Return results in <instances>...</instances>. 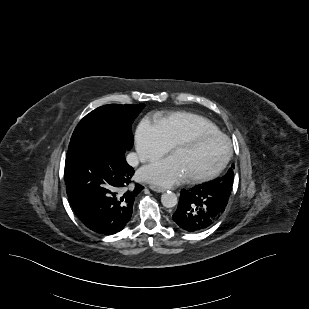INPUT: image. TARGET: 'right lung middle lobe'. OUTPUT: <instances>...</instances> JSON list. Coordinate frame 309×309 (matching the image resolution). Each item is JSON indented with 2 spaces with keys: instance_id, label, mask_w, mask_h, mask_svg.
<instances>
[{
  "instance_id": "dd1d6c3e",
  "label": "right lung middle lobe",
  "mask_w": 309,
  "mask_h": 309,
  "mask_svg": "<svg viewBox=\"0 0 309 309\" xmlns=\"http://www.w3.org/2000/svg\"><path fill=\"white\" fill-rule=\"evenodd\" d=\"M145 104H109L87 114L75 128L71 140L85 135H101L114 139L126 150L133 146L132 123Z\"/></svg>"
}]
</instances>
